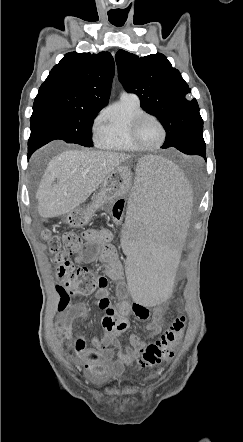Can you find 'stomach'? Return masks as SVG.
Masks as SVG:
<instances>
[{
  "mask_svg": "<svg viewBox=\"0 0 243 442\" xmlns=\"http://www.w3.org/2000/svg\"><path fill=\"white\" fill-rule=\"evenodd\" d=\"M132 172L127 166H118L103 181L101 189L94 195L92 203L77 207L65 215V222L70 227L87 224L95 212L105 204L126 195L130 191Z\"/></svg>",
  "mask_w": 243,
  "mask_h": 442,
  "instance_id": "0dacf381",
  "label": "stomach"
}]
</instances>
